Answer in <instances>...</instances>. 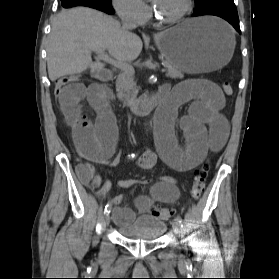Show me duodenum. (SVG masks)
I'll list each match as a JSON object with an SVG mask.
<instances>
[{
  "label": "duodenum",
  "mask_w": 279,
  "mask_h": 279,
  "mask_svg": "<svg viewBox=\"0 0 279 279\" xmlns=\"http://www.w3.org/2000/svg\"><path fill=\"white\" fill-rule=\"evenodd\" d=\"M93 76L99 79L101 82L108 81L111 79V72L106 69H99L93 72ZM156 106V102L149 100L145 97H139L134 99L128 104L130 111L135 115H146L148 114L154 107Z\"/></svg>",
  "instance_id": "duodenum-1"
}]
</instances>
